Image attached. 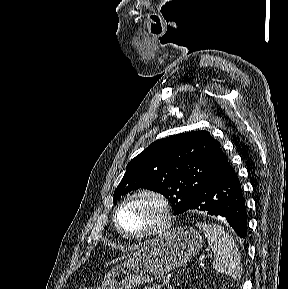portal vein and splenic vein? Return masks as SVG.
<instances>
[{"mask_svg":"<svg viewBox=\"0 0 288 289\" xmlns=\"http://www.w3.org/2000/svg\"><path fill=\"white\" fill-rule=\"evenodd\" d=\"M169 282H170V280H169V279H166V280L163 282V285H169Z\"/></svg>","mask_w":288,"mask_h":289,"instance_id":"1","label":"portal vein and splenic vein"}]
</instances>
